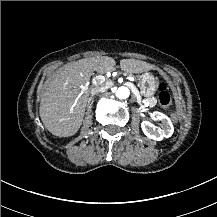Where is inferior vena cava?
<instances>
[{
  "label": "inferior vena cava",
  "mask_w": 217,
  "mask_h": 217,
  "mask_svg": "<svg viewBox=\"0 0 217 217\" xmlns=\"http://www.w3.org/2000/svg\"><path fill=\"white\" fill-rule=\"evenodd\" d=\"M106 89H107L106 86L96 85L93 88H91V94L95 95L96 93L101 92Z\"/></svg>",
  "instance_id": "inferior-vena-cava-1"
}]
</instances>
